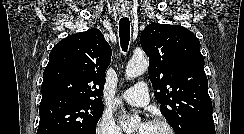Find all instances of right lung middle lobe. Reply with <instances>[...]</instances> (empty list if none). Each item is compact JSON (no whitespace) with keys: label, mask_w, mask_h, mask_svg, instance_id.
I'll use <instances>...</instances> for the list:
<instances>
[{"label":"right lung middle lobe","mask_w":244,"mask_h":134,"mask_svg":"<svg viewBox=\"0 0 244 134\" xmlns=\"http://www.w3.org/2000/svg\"><path fill=\"white\" fill-rule=\"evenodd\" d=\"M103 110V103L67 98L42 101L39 106L40 122L37 134H56L63 131L95 134Z\"/></svg>","instance_id":"1"}]
</instances>
